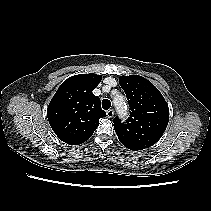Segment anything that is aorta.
I'll use <instances>...</instances> for the list:
<instances>
[{"label": "aorta", "instance_id": "aorta-1", "mask_svg": "<svg viewBox=\"0 0 211 211\" xmlns=\"http://www.w3.org/2000/svg\"><path fill=\"white\" fill-rule=\"evenodd\" d=\"M115 108L120 115H125L127 113V103L124 96L118 95L113 100Z\"/></svg>", "mask_w": 211, "mask_h": 211}]
</instances>
